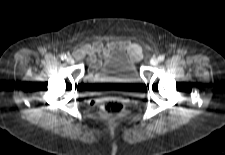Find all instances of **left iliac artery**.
Instances as JSON below:
<instances>
[{
  "mask_svg": "<svg viewBox=\"0 0 225 155\" xmlns=\"http://www.w3.org/2000/svg\"><path fill=\"white\" fill-rule=\"evenodd\" d=\"M165 59V57L163 56V55H160L159 57H158V60L159 61H163Z\"/></svg>",
  "mask_w": 225,
  "mask_h": 155,
  "instance_id": "44dca946",
  "label": "left iliac artery"
}]
</instances>
